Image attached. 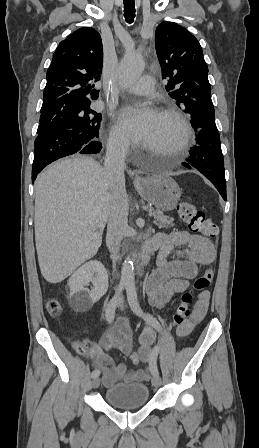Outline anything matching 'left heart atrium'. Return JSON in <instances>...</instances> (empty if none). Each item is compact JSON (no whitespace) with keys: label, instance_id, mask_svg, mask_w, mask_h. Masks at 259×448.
I'll use <instances>...</instances> for the list:
<instances>
[{"label":"left heart atrium","instance_id":"39dd6f15","mask_svg":"<svg viewBox=\"0 0 259 448\" xmlns=\"http://www.w3.org/2000/svg\"><path fill=\"white\" fill-rule=\"evenodd\" d=\"M157 117V111L151 107L129 106L120 112L119 124L133 139L140 140Z\"/></svg>","mask_w":259,"mask_h":448}]
</instances>
